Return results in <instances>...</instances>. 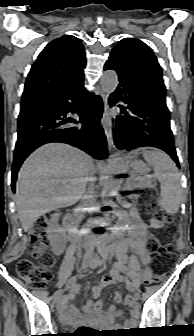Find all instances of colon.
I'll list each match as a JSON object with an SVG mask.
<instances>
[{
    "instance_id": "obj_1",
    "label": "colon",
    "mask_w": 194,
    "mask_h": 336,
    "mask_svg": "<svg viewBox=\"0 0 194 336\" xmlns=\"http://www.w3.org/2000/svg\"><path fill=\"white\" fill-rule=\"evenodd\" d=\"M142 210L149 217L150 225L156 232V235H153L149 239V246L152 252L157 256H169L171 254L170 241L172 239V231L170 230V226L172 220L160 210L158 204L155 202H145L142 205ZM46 226L47 221L45 218H39L35 222L30 234L29 247V254L33 257H41L47 252ZM16 270L18 276L34 288H45L51 277V273L47 267L36 265L27 258L19 260ZM156 280V277H151L147 280V283H154Z\"/></svg>"
}]
</instances>
